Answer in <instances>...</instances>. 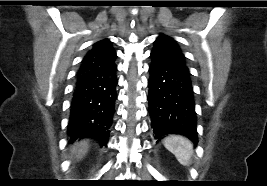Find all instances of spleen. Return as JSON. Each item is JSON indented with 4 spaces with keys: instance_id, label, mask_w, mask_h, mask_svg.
<instances>
[{
    "instance_id": "3e777b00",
    "label": "spleen",
    "mask_w": 267,
    "mask_h": 186,
    "mask_svg": "<svg viewBox=\"0 0 267 186\" xmlns=\"http://www.w3.org/2000/svg\"><path fill=\"white\" fill-rule=\"evenodd\" d=\"M165 148L173 153L183 166H189L193 154V145L185 137L171 135L164 139Z\"/></svg>"
}]
</instances>
